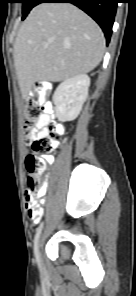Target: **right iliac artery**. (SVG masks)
Wrapping results in <instances>:
<instances>
[{
  "mask_svg": "<svg viewBox=\"0 0 136 296\" xmlns=\"http://www.w3.org/2000/svg\"><path fill=\"white\" fill-rule=\"evenodd\" d=\"M42 227H43V224L41 223L40 226L37 228L36 234L34 237V255H35V258H36V261H37V264H38L40 270H42V265H41V261H40V257H39L38 240H39V236L42 231Z\"/></svg>",
  "mask_w": 136,
  "mask_h": 296,
  "instance_id": "1",
  "label": "right iliac artery"
}]
</instances>
